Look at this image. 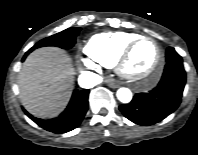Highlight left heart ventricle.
Wrapping results in <instances>:
<instances>
[{
	"label": "left heart ventricle",
	"instance_id": "b2bd125f",
	"mask_svg": "<svg viewBox=\"0 0 198 155\" xmlns=\"http://www.w3.org/2000/svg\"><path fill=\"white\" fill-rule=\"evenodd\" d=\"M156 58L157 48L155 43L144 40L132 51L126 69L132 75L138 77L144 76L152 70Z\"/></svg>",
	"mask_w": 198,
	"mask_h": 155
}]
</instances>
